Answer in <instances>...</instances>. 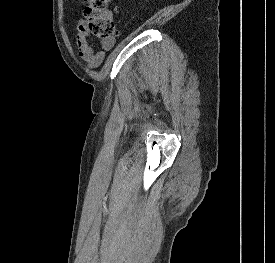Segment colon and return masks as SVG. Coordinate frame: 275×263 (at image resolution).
<instances>
[{
	"instance_id": "colon-1",
	"label": "colon",
	"mask_w": 275,
	"mask_h": 263,
	"mask_svg": "<svg viewBox=\"0 0 275 263\" xmlns=\"http://www.w3.org/2000/svg\"><path fill=\"white\" fill-rule=\"evenodd\" d=\"M111 0H84L82 11L86 30L93 36L110 41L118 32L112 18L107 14Z\"/></svg>"
}]
</instances>
